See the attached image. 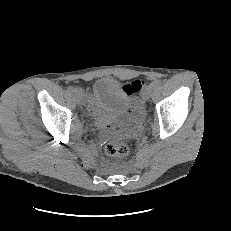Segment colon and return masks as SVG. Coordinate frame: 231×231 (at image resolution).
<instances>
[{"label": "colon", "mask_w": 231, "mask_h": 231, "mask_svg": "<svg viewBox=\"0 0 231 231\" xmlns=\"http://www.w3.org/2000/svg\"><path fill=\"white\" fill-rule=\"evenodd\" d=\"M126 88L131 93H137L142 88V83L137 80L128 84ZM139 104V100H136L134 103L135 106H138ZM129 151L128 145L121 141H113L106 146L107 154L114 157H125L129 154Z\"/></svg>", "instance_id": "colon-1"}]
</instances>
